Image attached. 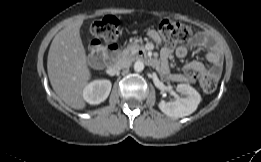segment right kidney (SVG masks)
<instances>
[{
    "label": "right kidney",
    "instance_id": "obj_1",
    "mask_svg": "<svg viewBox=\"0 0 261 162\" xmlns=\"http://www.w3.org/2000/svg\"><path fill=\"white\" fill-rule=\"evenodd\" d=\"M112 84L109 80H94L83 89V98L92 105L105 101L110 94Z\"/></svg>",
    "mask_w": 261,
    "mask_h": 162
}]
</instances>
